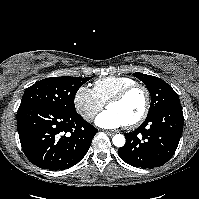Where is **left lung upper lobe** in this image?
<instances>
[{
    "mask_svg": "<svg viewBox=\"0 0 199 199\" xmlns=\"http://www.w3.org/2000/svg\"><path fill=\"white\" fill-rule=\"evenodd\" d=\"M133 76L144 82L150 92L151 105L148 115L168 104L180 102L177 93L162 79L143 73H134Z\"/></svg>",
    "mask_w": 199,
    "mask_h": 199,
    "instance_id": "left-lung-upper-lobe-1",
    "label": "left lung upper lobe"
}]
</instances>
